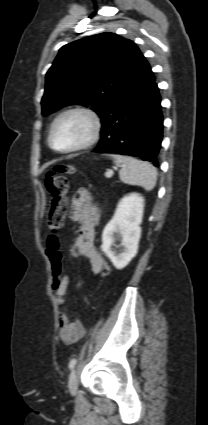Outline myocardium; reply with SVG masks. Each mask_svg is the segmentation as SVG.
Masks as SVG:
<instances>
[{"mask_svg": "<svg viewBox=\"0 0 208 425\" xmlns=\"http://www.w3.org/2000/svg\"><path fill=\"white\" fill-rule=\"evenodd\" d=\"M73 114H78V115H82L85 116L91 124V131L90 134L88 136V138L73 147L70 148H65V149H59L56 148L53 145V134L54 131L58 125V123L64 119L65 117L69 116V115H73ZM101 132H102V121L100 116L92 109L84 107V106H76V107H71L68 108L66 110H64L63 112H61L53 121L50 131H49V135H48V143L49 146L60 153H74V152H78V151H82L85 149H88L90 147H92L94 144H96L98 142V140L100 139L101 136Z\"/></svg>", "mask_w": 208, "mask_h": 425, "instance_id": "obj_1", "label": "myocardium"}]
</instances>
